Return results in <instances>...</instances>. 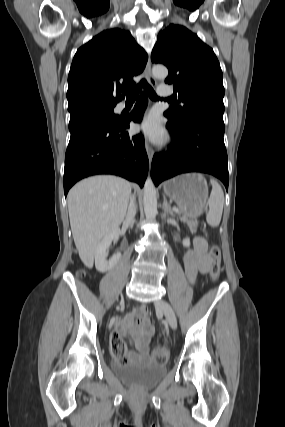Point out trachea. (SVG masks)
Segmentation results:
<instances>
[{
    "instance_id": "obj_1",
    "label": "trachea",
    "mask_w": 285,
    "mask_h": 427,
    "mask_svg": "<svg viewBox=\"0 0 285 427\" xmlns=\"http://www.w3.org/2000/svg\"><path fill=\"white\" fill-rule=\"evenodd\" d=\"M142 87H144V90L146 91V93L151 99L153 100L159 99V97L156 95L153 88L147 83L145 79H142L136 87L125 88L122 91L124 94H126L127 100H135L138 97V94Z\"/></svg>"
}]
</instances>
